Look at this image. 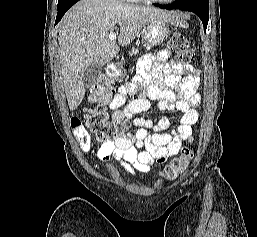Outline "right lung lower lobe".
I'll list each match as a JSON object with an SVG mask.
<instances>
[{"label":"right lung lower lobe","instance_id":"right-lung-lower-lobe-1","mask_svg":"<svg viewBox=\"0 0 257 237\" xmlns=\"http://www.w3.org/2000/svg\"><path fill=\"white\" fill-rule=\"evenodd\" d=\"M79 0H72L71 2L58 7V13L55 21V25L61 20L66 11Z\"/></svg>","mask_w":257,"mask_h":237}]
</instances>
